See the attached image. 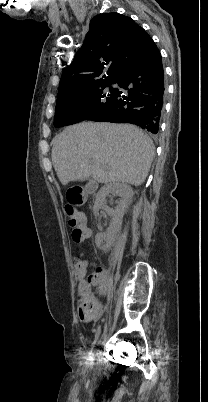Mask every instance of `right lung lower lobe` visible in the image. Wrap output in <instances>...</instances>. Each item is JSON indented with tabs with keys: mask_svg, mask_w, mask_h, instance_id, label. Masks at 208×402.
I'll list each match as a JSON object with an SVG mask.
<instances>
[{
	"mask_svg": "<svg viewBox=\"0 0 208 402\" xmlns=\"http://www.w3.org/2000/svg\"><path fill=\"white\" fill-rule=\"evenodd\" d=\"M115 82L127 95L116 89L114 106L90 120L135 124L156 134L165 99L164 70L161 54L147 33L127 57Z\"/></svg>",
	"mask_w": 208,
	"mask_h": 402,
	"instance_id": "1",
	"label": "right lung lower lobe"
}]
</instances>
